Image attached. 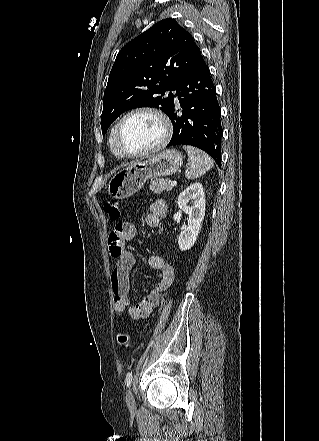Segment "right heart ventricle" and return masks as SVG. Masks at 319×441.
<instances>
[{"label":"right heart ventricle","instance_id":"right-heart-ventricle-1","mask_svg":"<svg viewBox=\"0 0 319 441\" xmlns=\"http://www.w3.org/2000/svg\"><path fill=\"white\" fill-rule=\"evenodd\" d=\"M114 129H115V125L113 126V128L111 129L110 135H109V146H110V150L112 152V154L117 157V158H123V156L118 152V150L115 147V143H114Z\"/></svg>","mask_w":319,"mask_h":441}]
</instances>
